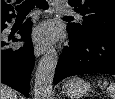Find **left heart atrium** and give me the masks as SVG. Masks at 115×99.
Wrapping results in <instances>:
<instances>
[{
    "mask_svg": "<svg viewBox=\"0 0 115 99\" xmlns=\"http://www.w3.org/2000/svg\"><path fill=\"white\" fill-rule=\"evenodd\" d=\"M32 37L36 45L46 46L53 41L55 31L50 25L42 24L35 29Z\"/></svg>",
    "mask_w": 115,
    "mask_h": 99,
    "instance_id": "1",
    "label": "left heart atrium"
}]
</instances>
